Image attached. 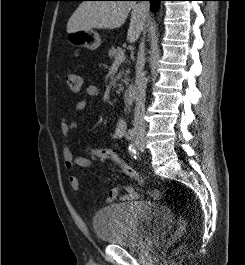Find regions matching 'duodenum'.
<instances>
[{"label": "duodenum", "instance_id": "duodenum-1", "mask_svg": "<svg viewBox=\"0 0 245 265\" xmlns=\"http://www.w3.org/2000/svg\"><path fill=\"white\" fill-rule=\"evenodd\" d=\"M136 88L134 86H131L130 88H128L123 95V99L125 104L127 105H133L135 102V98H136Z\"/></svg>", "mask_w": 245, "mask_h": 265}]
</instances>
